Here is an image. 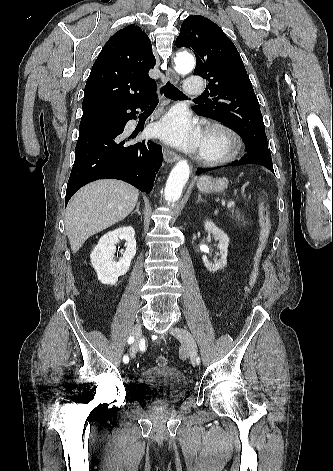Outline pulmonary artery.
I'll return each mask as SVG.
<instances>
[{
  "label": "pulmonary artery",
  "mask_w": 333,
  "mask_h": 471,
  "mask_svg": "<svg viewBox=\"0 0 333 471\" xmlns=\"http://www.w3.org/2000/svg\"><path fill=\"white\" fill-rule=\"evenodd\" d=\"M185 91L188 95H199L204 91V82L198 76L188 78Z\"/></svg>",
  "instance_id": "e3ab8cb5"
}]
</instances>
